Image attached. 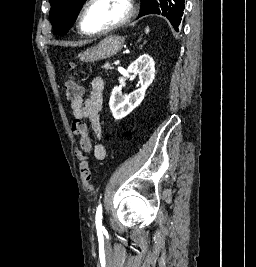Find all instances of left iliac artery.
<instances>
[{
	"mask_svg": "<svg viewBox=\"0 0 256 267\" xmlns=\"http://www.w3.org/2000/svg\"><path fill=\"white\" fill-rule=\"evenodd\" d=\"M95 223L96 226L102 225V205L99 204L96 210V216H95Z\"/></svg>",
	"mask_w": 256,
	"mask_h": 267,
	"instance_id": "left-iliac-artery-1",
	"label": "left iliac artery"
}]
</instances>
